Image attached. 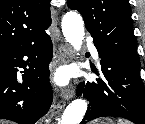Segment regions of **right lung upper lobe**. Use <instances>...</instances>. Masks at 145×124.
<instances>
[{
	"label": "right lung upper lobe",
	"mask_w": 145,
	"mask_h": 124,
	"mask_svg": "<svg viewBox=\"0 0 145 124\" xmlns=\"http://www.w3.org/2000/svg\"><path fill=\"white\" fill-rule=\"evenodd\" d=\"M50 0H0V48L33 43L51 25Z\"/></svg>",
	"instance_id": "cb5924a9"
}]
</instances>
